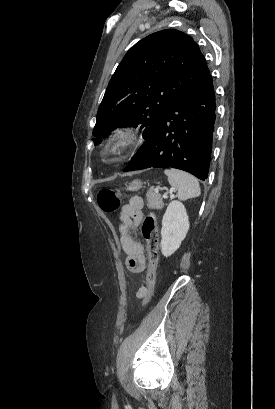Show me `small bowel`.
<instances>
[{
  "label": "small bowel",
  "instance_id": "c3829d8e",
  "mask_svg": "<svg viewBox=\"0 0 275 409\" xmlns=\"http://www.w3.org/2000/svg\"><path fill=\"white\" fill-rule=\"evenodd\" d=\"M144 200L140 196H133L123 206L121 211V223L119 225L120 244L126 254L125 264L129 272L140 273L146 267V256L143 244L131 233H134L143 219ZM143 288L136 292L141 298Z\"/></svg>",
  "mask_w": 275,
  "mask_h": 409
}]
</instances>
